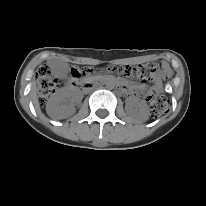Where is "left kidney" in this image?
I'll use <instances>...</instances> for the list:
<instances>
[{"label": "left kidney", "mask_w": 206, "mask_h": 206, "mask_svg": "<svg viewBox=\"0 0 206 206\" xmlns=\"http://www.w3.org/2000/svg\"><path fill=\"white\" fill-rule=\"evenodd\" d=\"M126 111L130 115L137 116L142 121L148 120L149 109L145 101L137 98H130L126 103Z\"/></svg>", "instance_id": "5707ae66"}]
</instances>
